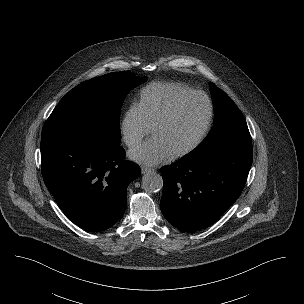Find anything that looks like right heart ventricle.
I'll return each mask as SVG.
<instances>
[{
  "label": "right heart ventricle",
  "mask_w": 304,
  "mask_h": 304,
  "mask_svg": "<svg viewBox=\"0 0 304 304\" xmlns=\"http://www.w3.org/2000/svg\"><path fill=\"white\" fill-rule=\"evenodd\" d=\"M190 91L193 90L179 83H152L144 87L137 104L148 126L151 128L177 98Z\"/></svg>",
  "instance_id": "obj_1"
}]
</instances>
